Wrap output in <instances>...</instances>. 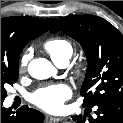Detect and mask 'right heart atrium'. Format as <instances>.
I'll use <instances>...</instances> for the list:
<instances>
[{"label":"right heart atrium","mask_w":123,"mask_h":123,"mask_svg":"<svg viewBox=\"0 0 123 123\" xmlns=\"http://www.w3.org/2000/svg\"><path fill=\"white\" fill-rule=\"evenodd\" d=\"M29 58H30L29 53H26L22 56L20 63H19V71L20 72H23L26 70V67H27L28 62H29Z\"/></svg>","instance_id":"obj_1"}]
</instances>
